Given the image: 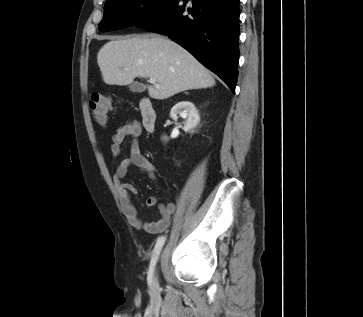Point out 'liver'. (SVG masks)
<instances>
[{
    "instance_id": "obj_1",
    "label": "liver",
    "mask_w": 363,
    "mask_h": 317,
    "mask_svg": "<svg viewBox=\"0 0 363 317\" xmlns=\"http://www.w3.org/2000/svg\"><path fill=\"white\" fill-rule=\"evenodd\" d=\"M97 63L108 85H128L136 77L154 78L159 87L148 86V93L159 100L215 85L211 73L193 55L159 35L111 40L99 50Z\"/></svg>"
}]
</instances>
